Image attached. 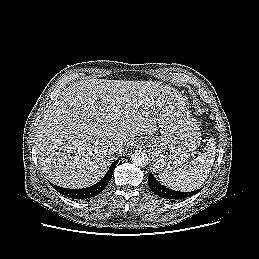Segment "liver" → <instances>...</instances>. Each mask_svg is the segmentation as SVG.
<instances>
[{"mask_svg": "<svg viewBox=\"0 0 259 259\" xmlns=\"http://www.w3.org/2000/svg\"><path fill=\"white\" fill-rule=\"evenodd\" d=\"M161 83L87 79L68 86L44 111L35 143L41 171L52 183L85 188L97 183L136 135L158 129ZM122 148L112 150V145Z\"/></svg>", "mask_w": 259, "mask_h": 259, "instance_id": "obj_1", "label": "liver"}]
</instances>
